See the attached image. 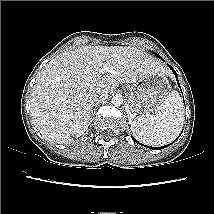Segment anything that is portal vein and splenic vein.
I'll list each match as a JSON object with an SVG mask.
<instances>
[{"mask_svg":"<svg viewBox=\"0 0 214 214\" xmlns=\"http://www.w3.org/2000/svg\"><path fill=\"white\" fill-rule=\"evenodd\" d=\"M112 68H110L107 64L104 65V67L101 70V73L104 74L105 72H112Z\"/></svg>","mask_w":214,"mask_h":214,"instance_id":"portal-vein-and-splenic-vein-1","label":"portal vein and splenic vein"}]
</instances>
